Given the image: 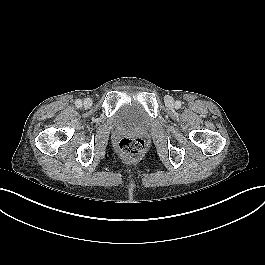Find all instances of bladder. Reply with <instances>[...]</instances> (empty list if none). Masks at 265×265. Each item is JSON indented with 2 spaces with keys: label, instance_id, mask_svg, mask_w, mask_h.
<instances>
[{
  "label": "bladder",
  "instance_id": "1",
  "mask_svg": "<svg viewBox=\"0 0 265 265\" xmlns=\"http://www.w3.org/2000/svg\"><path fill=\"white\" fill-rule=\"evenodd\" d=\"M114 120L123 127L143 128L148 124L150 117L140 101L127 98L118 107Z\"/></svg>",
  "mask_w": 265,
  "mask_h": 265
}]
</instances>
